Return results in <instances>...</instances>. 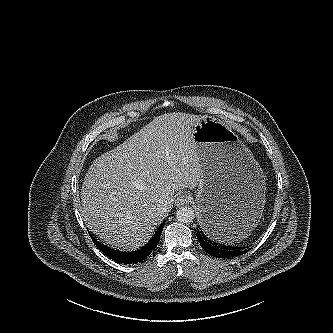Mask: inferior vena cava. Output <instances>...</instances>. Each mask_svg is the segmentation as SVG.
<instances>
[{
  "instance_id": "inferior-vena-cava-1",
  "label": "inferior vena cava",
  "mask_w": 333,
  "mask_h": 333,
  "mask_svg": "<svg viewBox=\"0 0 333 333\" xmlns=\"http://www.w3.org/2000/svg\"><path fill=\"white\" fill-rule=\"evenodd\" d=\"M160 210H161L162 212H166V211H167V207H166V205H165V204L160 205Z\"/></svg>"
}]
</instances>
